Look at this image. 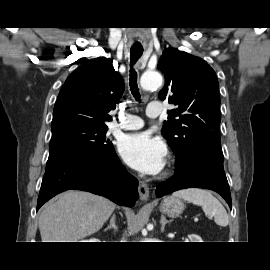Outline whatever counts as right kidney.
Segmentation results:
<instances>
[{
	"instance_id": "ca27d5eb",
	"label": "right kidney",
	"mask_w": 270,
	"mask_h": 270,
	"mask_svg": "<svg viewBox=\"0 0 270 270\" xmlns=\"http://www.w3.org/2000/svg\"><path fill=\"white\" fill-rule=\"evenodd\" d=\"M82 242H100V240H98L96 238H91L89 240H83Z\"/></svg>"
}]
</instances>
